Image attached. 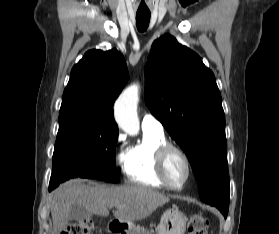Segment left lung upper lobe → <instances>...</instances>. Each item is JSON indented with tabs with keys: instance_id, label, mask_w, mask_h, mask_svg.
Instances as JSON below:
<instances>
[{
	"instance_id": "5c2ea615",
	"label": "left lung upper lobe",
	"mask_w": 279,
	"mask_h": 234,
	"mask_svg": "<svg viewBox=\"0 0 279 234\" xmlns=\"http://www.w3.org/2000/svg\"><path fill=\"white\" fill-rule=\"evenodd\" d=\"M145 101L187 155L200 199L227 217L230 185L225 114L213 72L192 50L165 34L145 66Z\"/></svg>"
}]
</instances>
